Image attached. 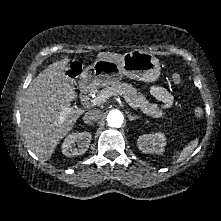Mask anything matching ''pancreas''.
Wrapping results in <instances>:
<instances>
[{"label":"pancreas","mask_w":221,"mask_h":221,"mask_svg":"<svg viewBox=\"0 0 221 221\" xmlns=\"http://www.w3.org/2000/svg\"><path fill=\"white\" fill-rule=\"evenodd\" d=\"M100 95L115 96L118 94H125L128 96L134 105L139 108L144 114L153 118H163L164 112L158 108L156 104L149 103L148 100L142 95L138 94L136 88L128 83H113L111 86L101 90Z\"/></svg>","instance_id":"cf45deb5"}]
</instances>
